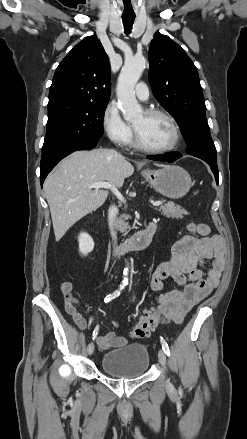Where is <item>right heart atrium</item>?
<instances>
[{
    "instance_id": "d8ad5b80",
    "label": "right heart atrium",
    "mask_w": 247,
    "mask_h": 439,
    "mask_svg": "<svg viewBox=\"0 0 247 439\" xmlns=\"http://www.w3.org/2000/svg\"><path fill=\"white\" fill-rule=\"evenodd\" d=\"M102 127L110 141L117 145H126L131 139V127L123 120L114 104L106 106L102 115Z\"/></svg>"
}]
</instances>
